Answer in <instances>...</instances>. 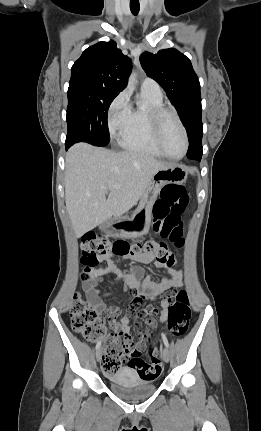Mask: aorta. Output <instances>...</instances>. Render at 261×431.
Returning a JSON list of instances; mask_svg holds the SVG:
<instances>
[{
    "label": "aorta",
    "instance_id": "obj_1",
    "mask_svg": "<svg viewBox=\"0 0 261 431\" xmlns=\"http://www.w3.org/2000/svg\"><path fill=\"white\" fill-rule=\"evenodd\" d=\"M129 84L134 85L137 83V78H136V74L132 73L129 77Z\"/></svg>",
    "mask_w": 261,
    "mask_h": 431
}]
</instances>
